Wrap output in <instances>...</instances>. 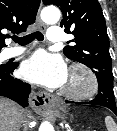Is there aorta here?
Wrapping results in <instances>:
<instances>
[{"instance_id":"aorta-1","label":"aorta","mask_w":117,"mask_h":131,"mask_svg":"<svg viewBox=\"0 0 117 131\" xmlns=\"http://www.w3.org/2000/svg\"><path fill=\"white\" fill-rule=\"evenodd\" d=\"M61 12L58 8L56 7H46L41 11V19L45 23H57L60 19ZM39 131H54L53 126L50 122L44 121L40 127Z\"/></svg>"}]
</instances>
